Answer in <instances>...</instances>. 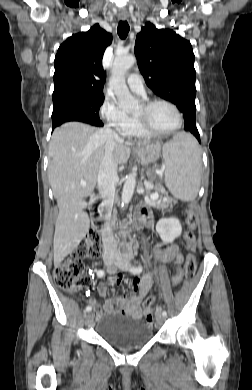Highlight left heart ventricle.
Returning <instances> with one entry per match:
<instances>
[{"instance_id": "1", "label": "left heart ventricle", "mask_w": 252, "mask_h": 390, "mask_svg": "<svg viewBox=\"0 0 252 390\" xmlns=\"http://www.w3.org/2000/svg\"><path fill=\"white\" fill-rule=\"evenodd\" d=\"M136 116L145 118L151 127L158 131L170 130L177 124L174 110L163 103L156 104L149 111H146L142 105Z\"/></svg>"}]
</instances>
